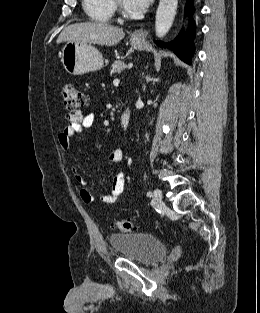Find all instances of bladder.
Returning a JSON list of instances; mask_svg holds the SVG:
<instances>
[{
  "instance_id": "1",
  "label": "bladder",
  "mask_w": 260,
  "mask_h": 313,
  "mask_svg": "<svg viewBox=\"0 0 260 313\" xmlns=\"http://www.w3.org/2000/svg\"><path fill=\"white\" fill-rule=\"evenodd\" d=\"M108 240L123 258L140 265H151L167 253L163 242L146 233L111 234Z\"/></svg>"
}]
</instances>
